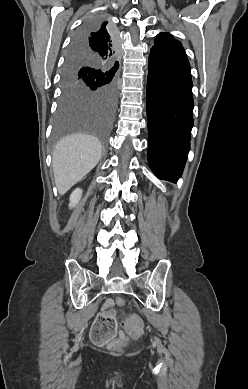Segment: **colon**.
<instances>
[{"mask_svg": "<svg viewBox=\"0 0 248 389\" xmlns=\"http://www.w3.org/2000/svg\"><path fill=\"white\" fill-rule=\"evenodd\" d=\"M117 305L124 306L125 299L122 297L117 298ZM97 321L92 324V337L94 338L95 344H108V349L112 352H119L125 346L126 338H117L111 340L110 337L116 335L117 322L113 317H107L102 311L95 313Z\"/></svg>", "mask_w": 248, "mask_h": 389, "instance_id": "1", "label": "colon"}]
</instances>
